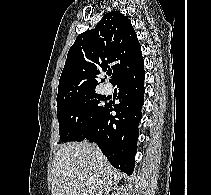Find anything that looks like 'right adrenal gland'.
Returning <instances> with one entry per match:
<instances>
[{"mask_svg": "<svg viewBox=\"0 0 211 195\" xmlns=\"http://www.w3.org/2000/svg\"><path fill=\"white\" fill-rule=\"evenodd\" d=\"M118 188L117 187H110V188H107L106 191H105V195H110V192L111 191H115L117 190Z\"/></svg>", "mask_w": 211, "mask_h": 195, "instance_id": "obj_1", "label": "right adrenal gland"}]
</instances>
